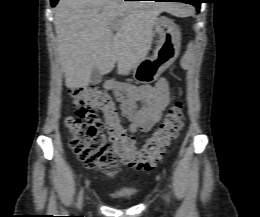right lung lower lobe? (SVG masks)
<instances>
[{
    "label": "right lung lower lobe",
    "mask_w": 260,
    "mask_h": 217,
    "mask_svg": "<svg viewBox=\"0 0 260 217\" xmlns=\"http://www.w3.org/2000/svg\"><path fill=\"white\" fill-rule=\"evenodd\" d=\"M59 0H51V5L54 7ZM127 1V0H126Z\"/></svg>",
    "instance_id": "obj_1"
}]
</instances>
